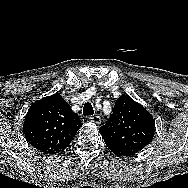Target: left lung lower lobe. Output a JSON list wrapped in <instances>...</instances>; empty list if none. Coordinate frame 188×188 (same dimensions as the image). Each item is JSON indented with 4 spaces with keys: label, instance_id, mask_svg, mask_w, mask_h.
Masks as SVG:
<instances>
[{
    "label": "left lung lower lobe",
    "instance_id": "left-lung-lower-lobe-1",
    "mask_svg": "<svg viewBox=\"0 0 188 188\" xmlns=\"http://www.w3.org/2000/svg\"><path fill=\"white\" fill-rule=\"evenodd\" d=\"M111 151L116 154V151H115V150L112 149ZM116 155H117V156H121V155H119V153H117Z\"/></svg>",
    "mask_w": 188,
    "mask_h": 188
}]
</instances>
